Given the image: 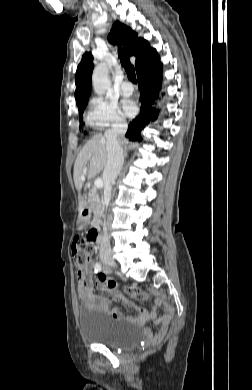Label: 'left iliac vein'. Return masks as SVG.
<instances>
[{"label":"left iliac vein","mask_w":252,"mask_h":390,"mask_svg":"<svg viewBox=\"0 0 252 390\" xmlns=\"http://www.w3.org/2000/svg\"><path fill=\"white\" fill-rule=\"evenodd\" d=\"M105 272H106V273H108V270H107V269H105Z\"/></svg>","instance_id":"left-iliac-vein-1"}]
</instances>
